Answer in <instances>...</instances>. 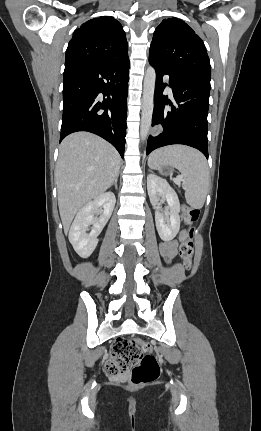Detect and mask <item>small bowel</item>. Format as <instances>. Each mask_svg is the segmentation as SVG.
<instances>
[{
	"instance_id": "1",
	"label": "small bowel",
	"mask_w": 261,
	"mask_h": 431,
	"mask_svg": "<svg viewBox=\"0 0 261 431\" xmlns=\"http://www.w3.org/2000/svg\"><path fill=\"white\" fill-rule=\"evenodd\" d=\"M183 233L184 231L180 232L179 241L182 240ZM178 244L177 240L166 241L160 244V253L167 263H171L176 256Z\"/></svg>"
}]
</instances>
